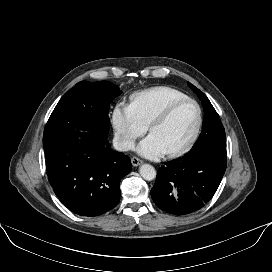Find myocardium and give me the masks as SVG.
Segmentation results:
<instances>
[{
	"label": "myocardium",
	"mask_w": 272,
	"mask_h": 272,
	"mask_svg": "<svg viewBox=\"0 0 272 272\" xmlns=\"http://www.w3.org/2000/svg\"><path fill=\"white\" fill-rule=\"evenodd\" d=\"M186 103H191L196 107V110H197L196 124H195L192 134L190 135V137L187 139V141L182 146H180L179 148H177L175 150L165 153V155L169 158H173V157H177V156L182 155L187 150H189L190 147L193 145V143L196 141V139L200 133L202 123H203V113H202V109H201V106L199 105V103L196 100L189 98V97L173 101L172 103L167 105L161 112H159L150 121V123L147 126L148 132L150 133V131L155 126L166 121L178 107H180L181 105L186 104Z\"/></svg>",
	"instance_id": "1"
}]
</instances>
